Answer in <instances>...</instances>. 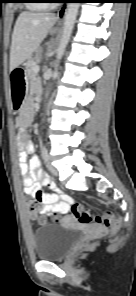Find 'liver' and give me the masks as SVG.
<instances>
[{
    "label": "liver",
    "mask_w": 136,
    "mask_h": 296,
    "mask_svg": "<svg viewBox=\"0 0 136 296\" xmlns=\"http://www.w3.org/2000/svg\"><path fill=\"white\" fill-rule=\"evenodd\" d=\"M57 21L53 13L22 12L15 23L10 49V70H14L39 47Z\"/></svg>",
    "instance_id": "6515ba94"
}]
</instances>
